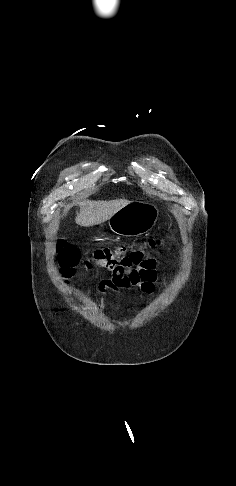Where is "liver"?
<instances>
[{
  "mask_svg": "<svg viewBox=\"0 0 236 486\" xmlns=\"http://www.w3.org/2000/svg\"><path fill=\"white\" fill-rule=\"evenodd\" d=\"M129 204L126 199L111 201H91L83 200L80 202V212L75 218L76 224L83 227L98 225L110 219L118 210ZM69 208L64 210V214Z\"/></svg>",
  "mask_w": 236,
  "mask_h": 486,
  "instance_id": "1",
  "label": "liver"
}]
</instances>
